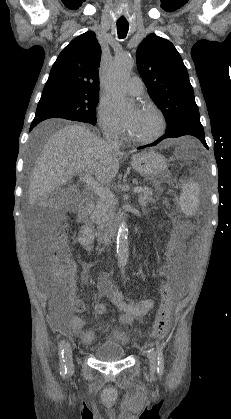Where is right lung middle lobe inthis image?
Masks as SVG:
<instances>
[{
    "mask_svg": "<svg viewBox=\"0 0 231 419\" xmlns=\"http://www.w3.org/2000/svg\"><path fill=\"white\" fill-rule=\"evenodd\" d=\"M98 100V92L60 86L44 87L34 120L64 118L95 125Z\"/></svg>",
    "mask_w": 231,
    "mask_h": 419,
    "instance_id": "obj_1",
    "label": "right lung middle lobe"
}]
</instances>
